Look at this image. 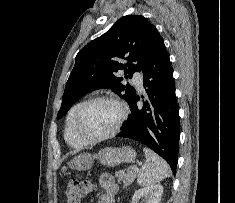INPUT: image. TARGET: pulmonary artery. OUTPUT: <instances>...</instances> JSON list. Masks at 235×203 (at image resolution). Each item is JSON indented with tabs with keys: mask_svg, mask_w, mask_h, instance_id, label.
Returning a JSON list of instances; mask_svg holds the SVG:
<instances>
[{
	"mask_svg": "<svg viewBox=\"0 0 235 203\" xmlns=\"http://www.w3.org/2000/svg\"><path fill=\"white\" fill-rule=\"evenodd\" d=\"M132 82L139 90H143V77L139 73H135L132 78Z\"/></svg>",
	"mask_w": 235,
	"mask_h": 203,
	"instance_id": "e3ab8cb5",
	"label": "pulmonary artery"
}]
</instances>
